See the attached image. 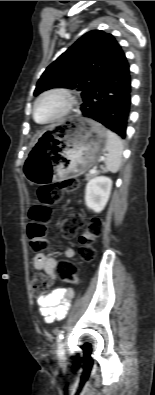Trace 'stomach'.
<instances>
[{
	"label": "stomach",
	"instance_id": "obj_1",
	"mask_svg": "<svg viewBox=\"0 0 155 395\" xmlns=\"http://www.w3.org/2000/svg\"><path fill=\"white\" fill-rule=\"evenodd\" d=\"M58 127V132L38 140L24 162V176L32 184L81 174L105 148L107 130L90 118L73 116Z\"/></svg>",
	"mask_w": 155,
	"mask_h": 395
}]
</instances>
